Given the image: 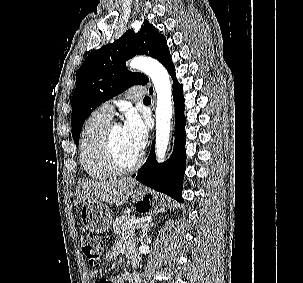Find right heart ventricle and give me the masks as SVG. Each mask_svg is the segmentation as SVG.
Listing matches in <instances>:
<instances>
[{"label":"right heart ventricle","mask_w":303,"mask_h":283,"mask_svg":"<svg viewBox=\"0 0 303 283\" xmlns=\"http://www.w3.org/2000/svg\"><path fill=\"white\" fill-rule=\"evenodd\" d=\"M109 122L111 118L98 109L87 118L81 130L80 163L86 175L92 180L100 181L112 176L101 160L99 149L102 134Z\"/></svg>","instance_id":"right-heart-ventricle-1"}]
</instances>
